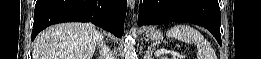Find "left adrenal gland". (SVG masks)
I'll return each instance as SVG.
<instances>
[{
    "label": "left adrenal gland",
    "mask_w": 261,
    "mask_h": 59,
    "mask_svg": "<svg viewBox=\"0 0 261 59\" xmlns=\"http://www.w3.org/2000/svg\"><path fill=\"white\" fill-rule=\"evenodd\" d=\"M144 59H154L153 51L151 50V46H148Z\"/></svg>",
    "instance_id": "1"
}]
</instances>
